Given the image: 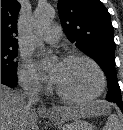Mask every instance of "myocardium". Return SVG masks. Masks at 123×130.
Here are the masks:
<instances>
[{
	"instance_id": "obj_1",
	"label": "myocardium",
	"mask_w": 123,
	"mask_h": 130,
	"mask_svg": "<svg viewBox=\"0 0 123 130\" xmlns=\"http://www.w3.org/2000/svg\"><path fill=\"white\" fill-rule=\"evenodd\" d=\"M63 60L64 61L83 60V61L88 62L97 71L99 80H100V84H99L98 90L90 96L73 97V96L63 93L52 81V89H53L54 93L60 99H62L63 101H66V102H70V103H86V102H91V101L99 98L103 94V92L105 91L106 85H107L106 76H105L102 68L99 66V64L94 59H92L91 57H89L85 54L70 53V54L66 55L63 58Z\"/></svg>"
}]
</instances>
